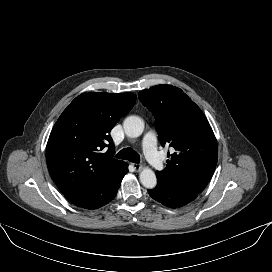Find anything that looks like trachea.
<instances>
[{"mask_svg":"<svg viewBox=\"0 0 272 272\" xmlns=\"http://www.w3.org/2000/svg\"><path fill=\"white\" fill-rule=\"evenodd\" d=\"M116 158L129 160L133 163H139L140 157L137 152H135L131 148H124L120 152L117 153Z\"/></svg>","mask_w":272,"mask_h":272,"instance_id":"obj_1","label":"trachea"}]
</instances>
